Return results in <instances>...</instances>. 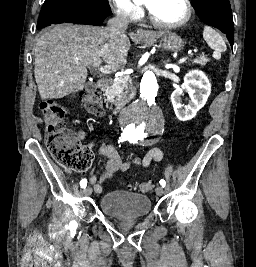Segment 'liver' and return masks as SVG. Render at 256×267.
<instances>
[{"label":"liver","instance_id":"1","mask_svg":"<svg viewBox=\"0 0 256 267\" xmlns=\"http://www.w3.org/2000/svg\"><path fill=\"white\" fill-rule=\"evenodd\" d=\"M129 48V38L115 36L99 26H50L39 36L35 48L34 76L40 98H64L83 90L89 66L97 60L106 66H125Z\"/></svg>","mask_w":256,"mask_h":267}]
</instances>
